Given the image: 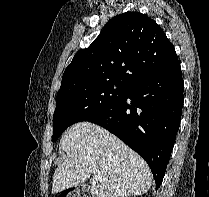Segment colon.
Listing matches in <instances>:
<instances>
[{
    "label": "colon",
    "instance_id": "colon-1",
    "mask_svg": "<svg viewBox=\"0 0 209 197\" xmlns=\"http://www.w3.org/2000/svg\"><path fill=\"white\" fill-rule=\"evenodd\" d=\"M61 197H87V196L79 191H68L62 193Z\"/></svg>",
    "mask_w": 209,
    "mask_h": 197
}]
</instances>
